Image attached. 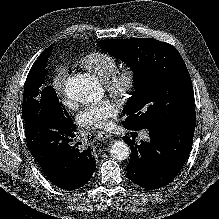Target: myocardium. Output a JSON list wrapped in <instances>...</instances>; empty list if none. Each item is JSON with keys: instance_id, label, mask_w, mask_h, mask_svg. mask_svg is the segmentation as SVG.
Wrapping results in <instances>:
<instances>
[{"instance_id": "1", "label": "myocardium", "mask_w": 219, "mask_h": 219, "mask_svg": "<svg viewBox=\"0 0 219 219\" xmlns=\"http://www.w3.org/2000/svg\"><path fill=\"white\" fill-rule=\"evenodd\" d=\"M139 75L135 68L126 67L116 71L105 81L106 90L122 102L131 98L138 85Z\"/></svg>"}]
</instances>
